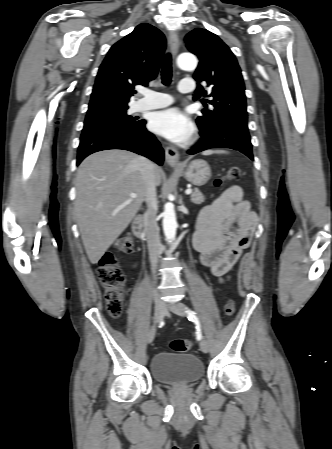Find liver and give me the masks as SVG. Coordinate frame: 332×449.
I'll use <instances>...</instances> for the list:
<instances>
[{
	"label": "liver",
	"mask_w": 332,
	"mask_h": 449,
	"mask_svg": "<svg viewBox=\"0 0 332 449\" xmlns=\"http://www.w3.org/2000/svg\"><path fill=\"white\" fill-rule=\"evenodd\" d=\"M138 158L124 150L100 151L84 159L77 170L75 215L92 264L128 227L145 200ZM154 167L159 186L161 170ZM131 193L137 197L131 199Z\"/></svg>",
	"instance_id": "liver-1"
}]
</instances>
